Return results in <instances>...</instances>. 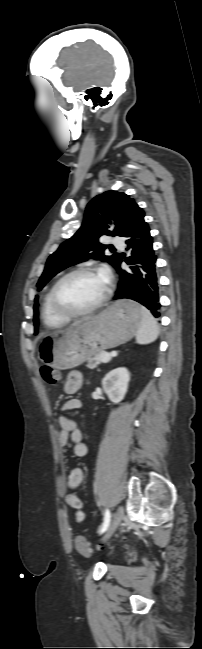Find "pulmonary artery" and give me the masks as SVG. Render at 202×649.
I'll list each match as a JSON object with an SVG mask.
<instances>
[{
	"label": "pulmonary artery",
	"instance_id": "1",
	"mask_svg": "<svg viewBox=\"0 0 202 649\" xmlns=\"http://www.w3.org/2000/svg\"><path fill=\"white\" fill-rule=\"evenodd\" d=\"M111 243L113 245L117 246V247H123L124 246L123 240L121 238H119V237H113L111 239Z\"/></svg>",
	"mask_w": 202,
	"mask_h": 649
}]
</instances>
